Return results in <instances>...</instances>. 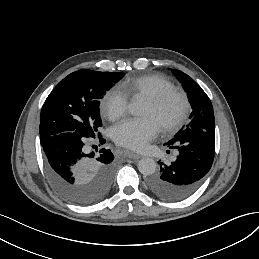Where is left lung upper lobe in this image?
<instances>
[{"mask_svg":"<svg viewBox=\"0 0 259 259\" xmlns=\"http://www.w3.org/2000/svg\"><path fill=\"white\" fill-rule=\"evenodd\" d=\"M173 73L178 77L183 84L184 90L187 92L188 100L192 107L190 115L191 121L186 126L187 128H203L215 131V120L213 113V106L203 91V89L187 74L174 69ZM184 129V130H185ZM183 130H180L178 134L174 136L167 144H173L176 142L177 137Z\"/></svg>","mask_w":259,"mask_h":259,"instance_id":"5c2ea615","label":"left lung upper lobe"}]
</instances>
